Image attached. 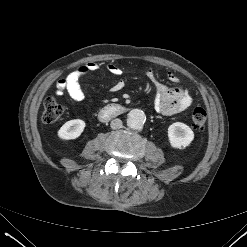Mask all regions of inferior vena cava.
<instances>
[{
    "mask_svg": "<svg viewBox=\"0 0 247 247\" xmlns=\"http://www.w3.org/2000/svg\"><path fill=\"white\" fill-rule=\"evenodd\" d=\"M112 129H120L122 127V121L119 118L113 119L110 123Z\"/></svg>",
    "mask_w": 247,
    "mask_h": 247,
    "instance_id": "1",
    "label": "inferior vena cava"
}]
</instances>
